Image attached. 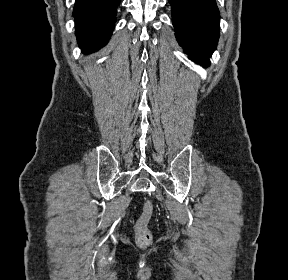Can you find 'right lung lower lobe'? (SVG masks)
I'll return each mask as SVG.
<instances>
[{
    "mask_svg": "<svg viewBox=\"0 0 288 280\" xmlns=\"http://www.w3.org/2000/svg\"><path fill=\"white\" fill-rule=\"evenodd\" d=\"M120 0H76V37L82 53H92L103 47L112 34Z\"/></svg>",
    "mask_w": 288,
    "mask_h": 280,
    "instance_id": "98d812e1",
    "label": "right lung lower lobe"
}]
</instances>
